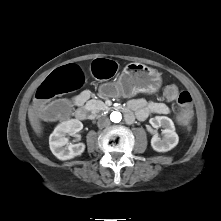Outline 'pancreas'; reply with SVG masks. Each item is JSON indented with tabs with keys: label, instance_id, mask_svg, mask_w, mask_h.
I'll list each match as a JSON object with an SVG mask.
<instances>
[{
	"label": "pancreas",
	"instance_id": "pancreas-1",
	"mask_svg": "<svg viewBox=\"0 0 221 221\" xmlns=\"http://www.w3.org/2000/svg\"><path fill=\"white\" fill-rule=\"evenodd\" d=\"M88 107L93 113H99L100 111L106 110V104L101 100H90L87 102Z\"/></svg>",
	"mask_w": 221,
	"mask_h": 221
}]
</instances>
